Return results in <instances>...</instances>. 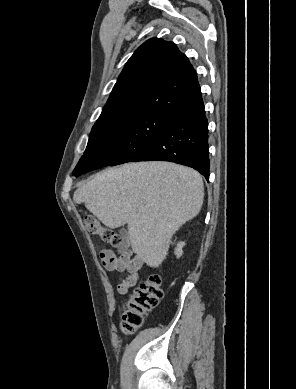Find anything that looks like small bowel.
Returning <instances> with one entry per match:
<instances>
[{"mask_svg":"<svg viewBox=\"0 0 296 389\" xmlns=\"http://www.w3.org/2000/svg\"><path fill=\"white\" fill-rule=\"evenodd\" d=\"M109 258H112V264L108 263ZM100 259L107 270L127 271L126 276L118 284L119 293L125 294L135 286L143 265L139 256L130 250L122 251L119 256H116L112 251L105 250L100 253Z\"/></svg>","mask_w":296,"mask_h":389,"instance_id":"c3829d8e","label":"small bowel"}]
</instances>
